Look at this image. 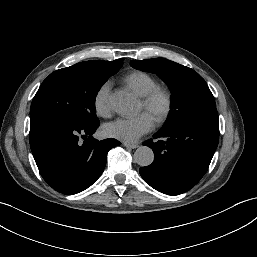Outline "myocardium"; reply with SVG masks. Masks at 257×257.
Returning a JSON list of instances; mask_svg holds the SVG:
<instances>
[{"mask_svg": "<svg viewBox=\"0 0 257 257\" xmlns=\"http://www.w3.org/2000/svg\"><path fill=\"white\" fill-rule=\"evenodd\" d=\"M141 102L146 108H152L157 103H161V108L154 118L157 123L164 122L172 110L171 94L166 89L160 87H156L146 95L142 96Z\"/></svg>", "mask_w": 257, "mask_h": 257, "instance_id": "obj_1", "label": "myocardium"}]
</instances>
